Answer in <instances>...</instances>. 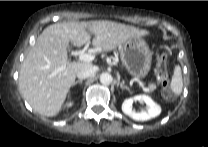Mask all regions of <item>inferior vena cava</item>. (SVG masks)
Masks as SVG:
<instances>
[{
  "instance_id": "1",
  "label": "inferior vena cava",
  "mask_w": 208,
  "mask_h": 147,
  "mask_svg": "<svg viewBox=\"0 0 208 147\" xmlns=\"http://www.w3.org/2000/svg\"><path fill=\"white\" fill-rule=\"evenodd\" d=\"M97 70H98L97 66H95V65H87V66L83 67L82 69H80L77 72V77L79 79H86L88 77L93 76L96 73Z\"/></svg>"
}]
</instances>
